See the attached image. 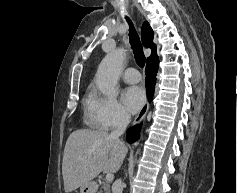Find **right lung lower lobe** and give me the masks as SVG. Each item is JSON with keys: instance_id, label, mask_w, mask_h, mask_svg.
Segmentation results:
<instances>
[{"instance_id": "obj_1", "label": "right lung lower lobe", "mask_w": 237, "mask_h": 193, "mask_svg": "<svg viewBox=\"0 0 237 193\" xmlns=\"http://www.w3.org/2000/svg\"><path fill=\"white\" fill-rule=\"evenodd\" d=\"M158 65H159V60L158 57L154 58L150 61H147L146 65V78H145V84L147 87V92H148V99L151 101L154 88H155V83H156V74L158 71ZM140 127L138 125L128 129L126 133V138L129 143H134L139 139L140 136Z\"/></svg>"}]
</instances>
